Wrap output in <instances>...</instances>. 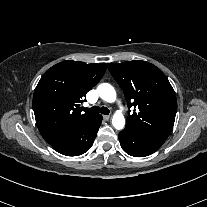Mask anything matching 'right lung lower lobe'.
<instances>
[{"label": "right lung lower lobe", "mask_w": 207, "mask_h": 207, "mask_svg": "<svg viewBox=\"0 0 207 207\" xmlns=\"http://www.w3.org/2000/svg\"><path fill=\"white\" fill-rule=\"evenodd\" d=\"M102 116L98 115L91 121L72 128L61 139L52 143V147L66 156L84 154L92 146L101 125Z\"/></svg>", "instance_id": "98d812e1"}]
</instances>
